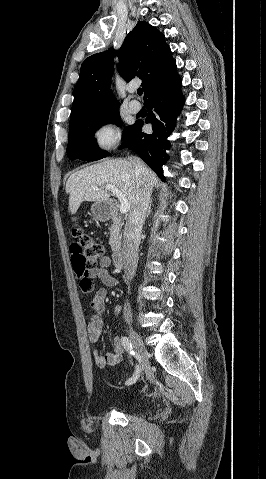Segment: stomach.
<instances>
[{"mask_svg": "<svg viewBox=\"0 0 266 479\" xmlns=\"http://www.w3.org/2000/svg\"><path fill=\"white\" fill-rule=\"evenodd\" d=\"M91 211L96 219L106 221L110 218L111 204L107 201H97L92 204Z\"/></svg>", "mask_w": 266, "mask_h": 479, "instance_id": "obj_1", "label": "stomach"}]
</instances>
